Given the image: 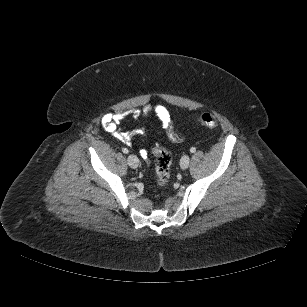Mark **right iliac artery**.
Instances as JSON below:
<instances>
[{
    "label": "right iliac artery",
    "instance_id": "right-iliac-artery-1",
    "mask_svg": "<svg viewBox=\"0 0 307 307\" xmlns=\"http://www.w3.org/2000/svg\"><path fill=\"white\" fill-rule=\"evenodd\" d=\"M122 152L125 153V154H127L129 151H128L127 148H122Z\"/></svg>",
    "mask_w": 307,
    "mask_h": 307
}]
</instances>
